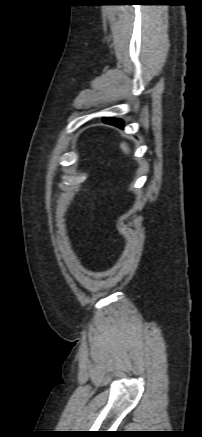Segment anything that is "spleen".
I'll list each match as a JSON object with an SVG mask.
<instances>
[{"label": "spleen", "instance_id": "1", "mask_svg": "<svg viewBox=\"0 0 202 437\" xmlns=\"http://www.w3.org/2000/svg\"><path fill=\"white\" fill-rule=\"evenodd\" d=\"M120 147H121V149L123 150V152L125 153V154H128L129 153V148H128V146H127V144L126 143H121L120 144Z\"/></svg>", "mask_w": 202, "mask_h": 437}]
</instances>
